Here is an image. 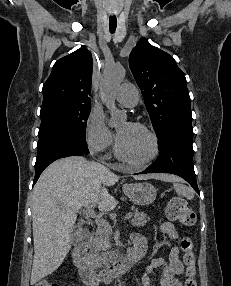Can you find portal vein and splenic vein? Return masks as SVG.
<instances>
[{"label": "portal vein and splenic vein", "instance_id": "obj_1", "mask_svg": "<svg viewBox=\"0 0 231 286\" xmlns=\"http://www.w3.org/2000/svg\"><path fill=\"white\" fill-rule=\"evenodd\" d=\"M94 205H87L84 209H83V213L93 219H95V223L97 224V226L99 228H106V227H110L109 223L101 218L100 216L96 215L95 211H94ZM132 217V212H129L126 214L125 216V220H128Z\"/></svg>", "mask_w": 231, "mask_h": 286}]
</instances>
